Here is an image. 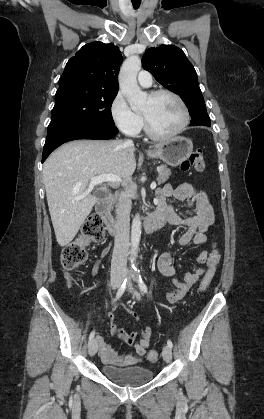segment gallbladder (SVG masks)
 I'll list each match as a JSON object with an SVG mask.
<instances>
[{"instance_id": "1", "label": "gallbladder", "mask_w": 264, "mask_h": 419, "mask_svg": "<svg viewBox=\"0 0 264 419\" xmlns=\"http://www.w3.org/2000/svg\"><path fill=\"white\" fill-rule=\"evenodd\" d=\"M97 194L100 196L102 194V192L101 191H98Z\"/></svg>"}]
</instances>
